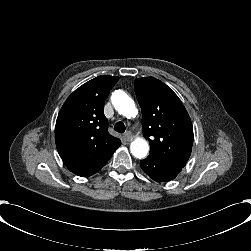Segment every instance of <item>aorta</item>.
<instances>
[{
  "label": "aorta",
  "mask_w": 251,
  "mask_h": 251,
  "mask_svg": "<svg viewBox=\"0 0 251 251\" xmlns=\"http://www.w3.org/2000/svg\"><path fill=\"white\" fill-rule=\"evenodd\" d=\"M112 104L115 109L125 118H131L137 112L135 102L123 90H115L112 93ZM132 155L141 159L149 150V144L142 136H136L130 143Z\"/></svg>",
  "instance_id": "1"
}]
</instances>
